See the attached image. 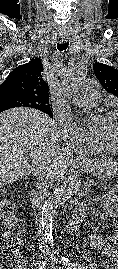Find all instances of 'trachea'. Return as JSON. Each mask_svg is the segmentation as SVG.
<instances>
[{"instance_id": "3493384b", "label": "trachea", "mask_w": 118, "mask_h": 269, "mask_svg": "<svg viewBox=\"0 0 118 269\" xmlns=\"http://www.w3.org/2000/svg\"><path fill=\"white\" fill-rule=\"evenodd\" d=\"M68 45H69V42L58 43L57 48H58V50L63 51V50L67 49Z\"/></svg>"}]
</instances>
